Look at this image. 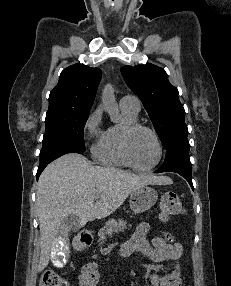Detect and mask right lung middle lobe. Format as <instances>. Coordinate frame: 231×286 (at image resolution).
Segmentation results:
<instances>
[{"mask_svg": "<svg viewBox=\"0 0 231 286\" xmlns=\"http://www.w3.org/2000/svg\"><path fill=\"white\" fill-rule=\"evenodd\" d=\"M89 111L90 109H48L40 158L63 148L85 151L83 132Z\"/></svg>", "mask_w": 231, "mask_h": 286, "instance_id": "1", "label": "right lung middle lobe"}]
</instances>
